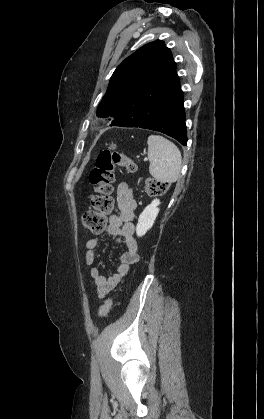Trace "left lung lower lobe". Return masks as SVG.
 <instances>
[{
    "mask_svg": "<svg viewBox=\"0 0 264 419\" xmlns=\"http://www.w3.org/2000/svg\"><path fill=\"white\" fill-rule=\"evenodd\" d=\"M114 118L111 125L159 131L187 144L183 92L177 74L147 89L131 109Z\"/></svg>",
    "mask_w": 264,
    "mask_h": 419,
    "instance_id": "left-lung-lower-lobe-1",
    "label": "left lung lower lobe"
}]
</instances>
